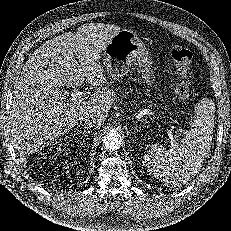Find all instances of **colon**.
Returning <instances> with one entry per match:
<instances>
[{
    "instance_id": "1",
    "label": "colon",
    "mask_w": 231,
    "mask_h": 231,
    "mask_svg": "<svg viewBox=\"0 0 231 231\" xmlns=\"http://www.w3.org/2000/svg\"><path fill=\"white\" fill-rule=\"evenodd\" d=\"M170 59L180 78V83L175 89V95L179 100H187L191 97V72L192 52L186 48L176 47L170 52Z\"/></svg>"
}]
</instances>
